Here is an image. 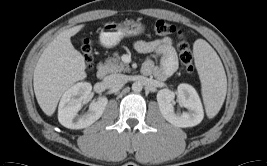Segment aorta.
Returning a JSON list of instances; mask_svg holds the SVG:
<instances>
[{"mask_svg":"<svg viewBox=\"0 0 267 166\" xmlns=\"http://www.w3.org/2000/svg\"><path fill=\"white\" fill-rule=\"evenodd\" d=\"M142 88H143V85H142L141 82H134V83L132 84V90H133L134 92H136V93L142 91Z\"/></svg>","mask_w":267,"mask_h":166,"instance_id":"1","label":"aorta"}]
</instances>
